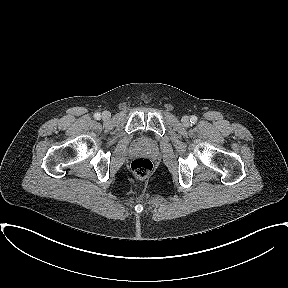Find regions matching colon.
Returning a JSON list of instances; mask_svg holds the SVG:
<instances>
[{"label": "colon", "instance_id": "obj_1", "mask_svg": "<svg viewBox=\"0 0 288 288\" xmlns=\"http://www.w3.org/2000/svg\"><path fill=\"white\" fill-rule=\"evenodd\" d=\"M131 170L140 179L147 177L153 170V163L147 158H137L131 163Z\"/></svg>", "mask_w": 288, "mask_h": 288}]
</instances>
